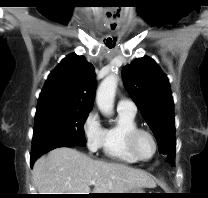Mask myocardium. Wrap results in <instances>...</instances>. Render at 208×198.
<instances>
[{
  "instance_id": "1",
  "label": "myocardium",
  "mask_w": 208,
  "mask_h": 198,
  "mask_svg": "<svg viewBox=\"0 0 208 198\" xmlns=\"http://www.w3.org/2000/svg\"><path fill=\"white\" fill-rule=\"evenodd\" d=\"M141 134L148 135L152 139L153 144H154L153 154L148 158L143 157L142 155H140V153L137 149V145H136L137 139ZM127 143H128L129 150L139 161H149V160L153 159L155 157V155L157 154V151H158V141H157L155 135L150 130L145 129V128L137 127L135 129H133L128 134Z\"/></svg>"
}]
</instances>
